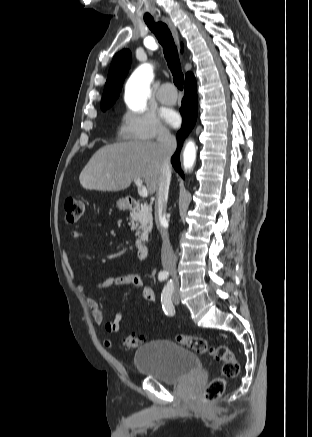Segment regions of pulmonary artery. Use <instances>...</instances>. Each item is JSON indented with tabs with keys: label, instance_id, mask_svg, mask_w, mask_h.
<instances>
[{
	"label": "pulmonary artery",
	"instance_id": "e3ab8cb5",
	"mask_svg": "<svg viewBox=\"0 0 312 437\" xmlns=\"http://www.w3.org/2000/svg\"><path fill=\"white\" fill-rule=\"evenodd\" d=\"M172 88L173 86L168 83L160 87L157 98L162 104L172 105L176 102L177 93Z\"/></svg>",
	"mask_w": 312,
	"mask_h": 437
}]
</instances>
